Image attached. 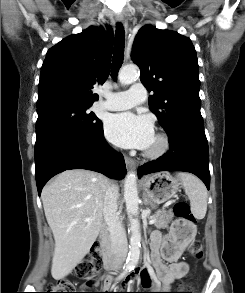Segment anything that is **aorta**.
I'll use <instances>...</instances> for the list:
<instances>
[{
  "label": "aorta",
  "instance_id": "aorta-1",
  "mask_svg": "<svg viewBox=\"0 0 245 293\" xmlns=\"http://www.w3.org/2000/svg\"><path fill=\"white\" fill-rule=\"evenodd\" d=\"M138 78V68L135 65L126 66L121 69L118 75L120 83L128 85L135 82ZM124 199L126 211L130 220V250L126 260L127 267L134 268L140 256V222L137 218L139 213V198L137 191V176L134 172H128L124 182Z\"/></svg>",
  "mask_w": 245,
  "mask_h": 293
}]
</instances>
